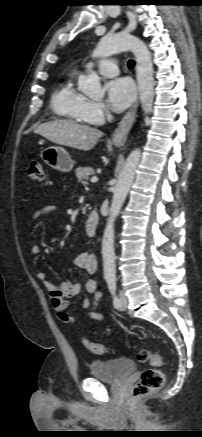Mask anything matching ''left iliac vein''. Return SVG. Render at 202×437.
I'll list each match as a JSON object with an SVG mask.
<instances>
[{"label":"left iliac vein","mask_w":202,"mask_h":437,"mask_svg":"<svg viewBox=\"0 0 202 437\" xmlns=\"http://www.w3.org/2000/svg\"><path fill=\"white\" fill-rule=\"evenodd\" d=\"M119 297H120V306H119V309L120 310H125L127 308V304H128L127 297H126V295L124 294L123 291H120Z\"/></svg>","instance_id":"obj_1"}]
</instances>
